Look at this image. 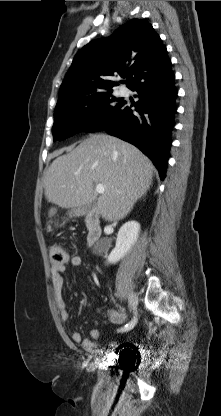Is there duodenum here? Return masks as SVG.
<instances>
[{"instance_id":"1","label":"duodenum","mask_w":221,"mask_h":416,"mask_svg":"<svg viewBox=\"0 0 221 416\" xmlns=\"http://www.w3.org/2000/svg\"><path fill=\"white\" fill-rule=\"evenodd\" d=\"M87 225V244L94 245L102 235V227L98 218L96 210L90 211L86 214Z\"/></svg>"}]
</instances>
